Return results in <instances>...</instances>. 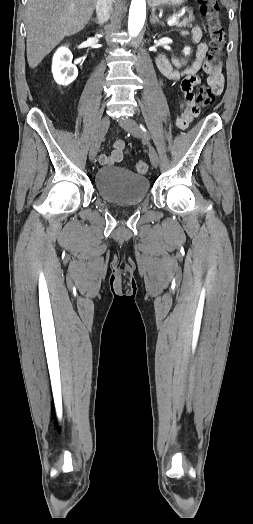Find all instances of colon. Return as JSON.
I'll use <instances>...</instances> for the list:
<instances>
[{"mask_svg": "<svg viewBox=\"0 0 253 524\" xmlns=\"http://www.w3.org/2000/svg\"><path fill=\"white\" fill-rule=\"evenodd\" d=\"M197 2L202 15L206 19L210 37L209 61L217 62L223 55L225 44V33L218 13L217 0H197ZM212 99V88L207 85L201 86L197 92V102L205 106L208 105ZM135 168L138 173L144 174L148 170V165L144 161H138Z\"/></svg>", "mask_w": 253, "mask_h": 524, "instance_id": "colon-1", "label": "colon"}]
</instances>
